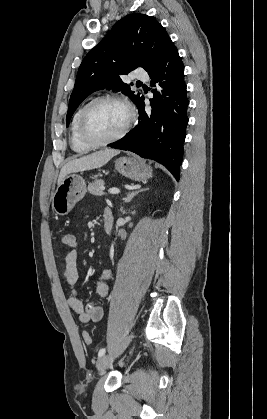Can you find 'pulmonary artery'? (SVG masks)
I'll list each match as a JSON object with an SVG mask.
<instances>
[{"instance_id":"obj_1","label":"pulmonary artery","mask_w":267,"mask_h":419,"mask_svg":"<svg viewBox=\"0 0 267 419\" xmlns=\"http://www.w3.org/2000/svg\"><path fill=\"white\" fill-rule=\"evenodd\" d=\"M134 78L138 80H147L148 74L142 70H136L134 73Z\"/></svg>"}]
</instances>
